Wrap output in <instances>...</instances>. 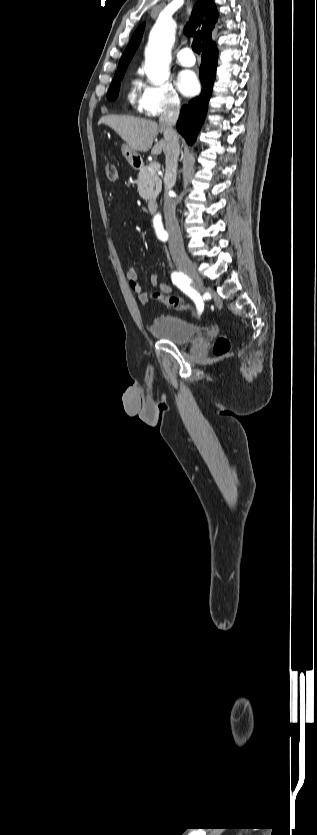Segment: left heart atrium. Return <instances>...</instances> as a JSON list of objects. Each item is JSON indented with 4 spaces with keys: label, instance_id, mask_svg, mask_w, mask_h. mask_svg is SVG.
Here are the masks:
<instances>
[{
    "label": "left heart atrium",
    "instance_id": "39dd6f15",
    "mask_svg": "<svg viewBox=\"0 0 317 835\" xmlns=\"http://www.w3.org/2000/svg\"><path fill=\"white\" fill-rule=\"evenodd\" d=\"M179 90L185 96H193L199 91V82L194 72L182 71L177 80Z\"/></svg>",
    "mask_w": 317,
    "mask_h": 835
}]
</instances>
